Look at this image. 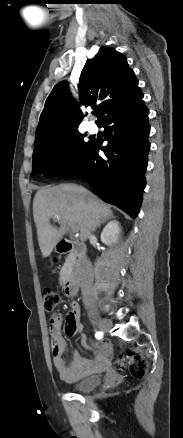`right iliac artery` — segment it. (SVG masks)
<instances>
[{
    "mask_svg": "<svg viewBox=\"0 0 183 438\" xmlns=\"http://www.w3.org/2000/svg\"><path fill=\"white\" fill-rule=\"evenodd\" d=\"M95 337L97 339H101L103 337V332L102 331H97L96 334H95Z\"/></svg>",
    "mask_w": 183,
    "mask_h": 438,
    "instance_id": "obj_1",
    "label": "right iliac artery"
}]
</instances>
